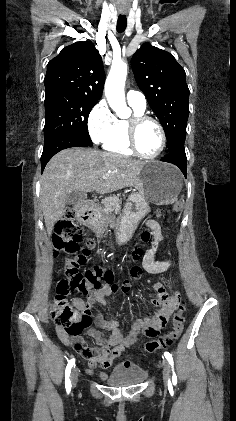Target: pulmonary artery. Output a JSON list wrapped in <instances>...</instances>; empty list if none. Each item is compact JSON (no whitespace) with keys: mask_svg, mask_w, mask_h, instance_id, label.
Masks as SVG:
<instances>
[{"mask_svg":"<svg viewBox=\"0 0 236 421\" xmlns=\"http://www.w3.org/2000/svg\"><path fill=\"white\" fill-rule=\"evenodd\" d=\"M127 101L130 105L135 106L139 109H145L146 108V99L139 92L130 90L127 93Z\"/></svg>","mask_w":236,"mask_h":421,"instance_id":"pulmonary-artery-1","label":"pulmonary artery"}]
</instances>
